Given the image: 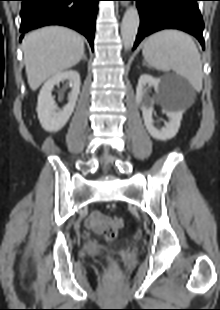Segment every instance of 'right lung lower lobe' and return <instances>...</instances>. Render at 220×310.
I'll return each instance as SVG.
<instances>
[{
  "label": "right lung lower lobe",
  "instance_id": "right-lung-lower-lobe-1",
  "mask_svg": "<svg viewBox=\"0 0 220 310\" xmlns=\"http://www.w3.org/2000/svg\"><path fill=\"white\" fill-rule=\"evenodd\" d=\"M24 33L45 25H63L83 34L93 49L95 20L100 0H21Z\"/></svg>",
  "mask_w": 220,
  "mask_h": 310
}]
</instances>
